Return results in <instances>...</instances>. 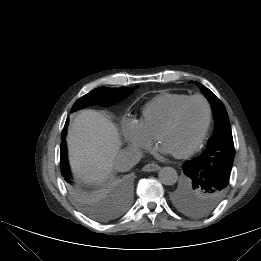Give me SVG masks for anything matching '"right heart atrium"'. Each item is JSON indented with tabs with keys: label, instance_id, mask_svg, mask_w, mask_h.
Masks as SVG:
<instances>
[{
	"label": "right heart atrium",
	"instance_id": "right-heart-atrium-1",
	"mask_svg": "<svg viewBox=\"0 0 261 261\" xmlns=\"http://www.w3.org/2000/svg\"><path fill=\"white\" fill-rule=\"evenodd\" d=\"M123 134L126 142L142 150L148 149L154 141V138L145 133L139 123L133 120L124 121Z\"/></svg>",
	"mask_w": 261,
	"mask_h": 261
}]
</instances>
